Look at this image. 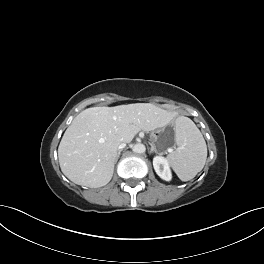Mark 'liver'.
<instances>
[{
    "mask_svg": "<svg viewBox=\"0 0 264 264\" xmlns=\"http://www.w3.org/2000/svg\"><path fill=\"white\" fill-rule=\"evenodd\" d=\"M171 112L150 103L92 107L79 113L58 147L61 171L78 185L98 188L112 178L121 141L130 143L139 131L164 127Z\"/></svg>",
    "mask_w": 264,
    "mask_h": 264,
    "instance_id": "obj_1",
    "label": "liver"
}]
</instances>
